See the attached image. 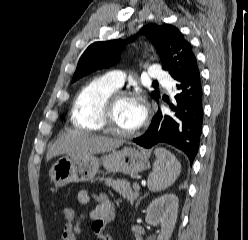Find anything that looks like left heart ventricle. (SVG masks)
Here are the masks:
<instances>
[{
  "mask_svg": "<svg viewBox=\"0 0 248 240\" xmlns=\"http://www.w3.org/2000/svg\"><path fill=\"white\" fill-rule=\"evenodd\" d=\"M134 99L121 98L117 100L111 111L113 125L121 131H130L136 128L132 120Z\"/></svg>",
  "mask_w": 248,
  "mask_h": 240,
  "instance_id": "obj_1",
  "label": "left heart ventricle"
}]
</instances>
